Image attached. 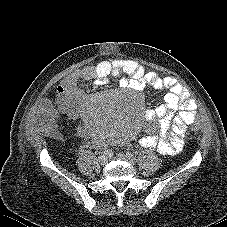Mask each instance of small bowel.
<instances>
[{"mask_svg": "<svg viewBox=\"0 0 227 227\" xmlns=\"http://www.w3.org/2000/svg\"><path fill=\"white\" fill-rule=\"evenodd\" d=\"M120 76H123L121 86L124 88L140 91L147 86H153L167 90L164 102L146 111V120L157 122L151 131L140 138V144L162 154H178L184 146L186 126L195 120L197 104L188 90L176 79L147 72L134 61H103L71 73L57 87L56 96L60 106L64 110L74 109L85 99L86 93L81 86L83 81H93L94 85L103 86L110 78ZM41 112L52 114L51 101L42 104Z\"/></svg>", "mask_w": 227, "mask_h": 227, "instance_id": "c3829d8e", "label": "small bowel"}]
</instances>
